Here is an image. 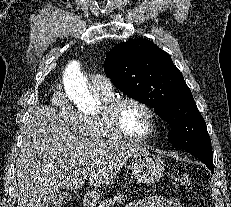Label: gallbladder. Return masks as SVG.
Wrapping results in <instances>:
<instances>
[{
  "instance_id": "obj_1",
  "label": "gallbladder",
  "mask_w": 231,
  "mask_h": 207,
  "mask_svg": "<svg viewBox=\"0 0 231 207\" xmlns=\"http://www.w3.org/2000/svg\"><path fill=\"white\" fill-rule=\"evenodd\" d=\"M71 198H72V195L70 193L60 191V192H57V194L51 200V204H53L55 207H59L62 204L70 201Z\"/></svg>"
}]
</instances>
